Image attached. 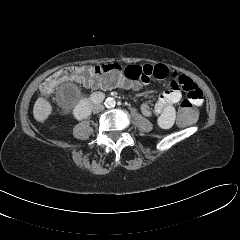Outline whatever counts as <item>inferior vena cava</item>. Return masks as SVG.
<instances>
[{"instance_id": "1", "label": "inferior vena cava", "mask_w": 240, "mask_h": 240, "mask_svg": "<svg viewBox=\"0 0 240 240\" xmlns=\"http://www.w3.org/2000/svg\"><path fill=\"white\" fill-rule=\"evenodd\" d=\"M104 109V106L101 104L94 105L92 107L93 113H99Z\"/></svg>"}]
</instances>
